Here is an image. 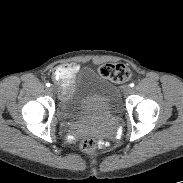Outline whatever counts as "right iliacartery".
I'll return each mask as SVG.
<instances>
[{"mask_svg":"<svg viewBox=\"0 0 183 183\" xmlns=\"http://www.w3.org/2000/svg\"><path fill=\"white\" fill-rule=\"evenodd\" d=\"M50 85H51L50 83H46V86H47V87H50Z\"/></svg>","mask_w":183,"mask_h":183,"instance_id":"1","label":"right iliac artery"}]
</instances>
